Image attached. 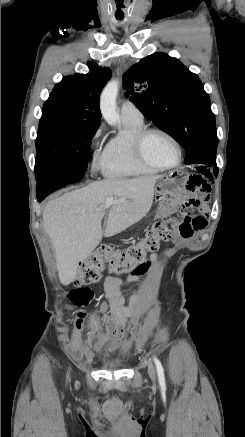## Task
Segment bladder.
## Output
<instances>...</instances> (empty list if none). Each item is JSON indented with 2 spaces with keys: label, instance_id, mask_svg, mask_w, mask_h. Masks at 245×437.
<instances>
[{
  "label": "bladder",
  "instance_id": "31cf9c89",
  "mask_svg": "<svg viewBox=\"0 0 245 437\" xmlns=\"http://www.w3.org/2000/svg\"><path fill=\"white\" fill-rule=\"evenodd\" d=\"M123 364H122V362H120V361H112V362H109V363H107L106 364V366L108 367V368H112V369H114V368H119V367H121Z\"/></svg>",
  "mask_w": 245,
  "mask_h": 437
}]
</instances>
